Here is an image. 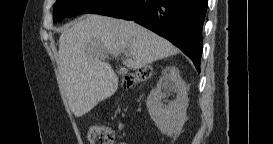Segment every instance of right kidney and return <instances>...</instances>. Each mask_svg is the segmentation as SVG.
Segmentation results:
<instances>
[{
	"label": "right kidney",
	"instance_id": "1",
	"mask_svg": "<svg viewBox=\"0 0 273 144\" xmlns=\"http://www.w3.org/2000/svg\"><path fill=\"white\" fill-rule=\"evenodd\" d=\"M169 74L160 78L157 88L153 90L147 100L149 115L158 129L167 136H174L181 132L187 119L188 87L181 79L179 71L170 68ZM177 93L176 99L163 105L162 99L170 93Z\"/></svg>",
	"mask_w": 273,
	"mask_h": 144
}]
</instances>
